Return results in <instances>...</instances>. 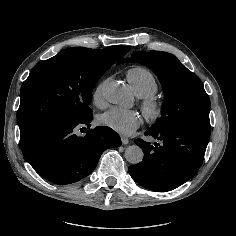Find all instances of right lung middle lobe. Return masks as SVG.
<instances>
[{"instance_id": "1", "label": "right lung middle lobe", "mask_w": 236, "mask_h": 236, "mask_svg": "<svg viewBox=\"0 0 236 236\" xmlns=\"http://www.w3.org/2000/svg\"><path fill=\"white\" fill-rule=\"evenodd\" d=\"M127 52L124 46L71 47L39 62L21 87L20 135L49 121L80 122L91 116L89 104L96 82Z\"/></svg>"}]
</instances>
